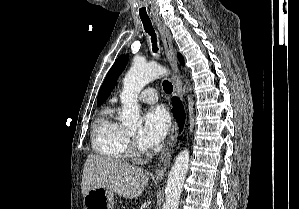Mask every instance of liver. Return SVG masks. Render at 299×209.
<instances>
[{
	"mask_svg": "<svg viewBox=\"0 0 299 209\" xmlns=\"http://www.w3.org/2000/svg\"><path fill=\"white\" fill-rule=\"evenodd\" d=\"M149 173L141 167L91 154L82 177V195L93 188H105L125 198H137L147 184Z\"/></svg>",
	"mask_w": 299,
	"mask_h": 209,
	"instance_id": "1",
	"label": "liver"
}]
</instances>
